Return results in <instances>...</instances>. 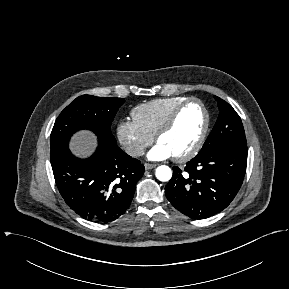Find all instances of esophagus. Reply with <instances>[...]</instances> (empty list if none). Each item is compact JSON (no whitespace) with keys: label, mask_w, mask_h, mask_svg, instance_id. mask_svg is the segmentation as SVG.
<instances>
[{"label":"esophagus","mask_w":289,"mask_h":289,"mask_svg":"<svg viewBox=\"0 0 289 289\" xmlns=\"http://www.w3.org/2000/svg\"><path fill=\"white\" fill-rule=\"evenodd\" d=\"M144 166L146 170H149V169L155 168L156 164L145 163Z\"/></svg>","instance_id":"esophagus-1"}]
</instances>
